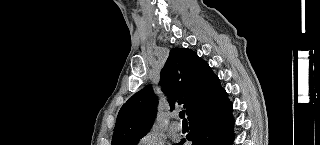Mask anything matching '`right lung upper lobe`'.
Masks as SVG:
<instances>
[{
  "label": "right lung upper lobe",
  "mask_w": 320,
  "mask_h": 145,
  "mask_svg": "<svg viewBox=\"0 0 320 145\" xmlns=\"http://www.w3.org/2000/svg\"><path fill=\"white\" fill-rule=\"evenodd\" d=\"M209 65L186 48H173L161 71L160 82L171 111L183 104L188 117L206 103L216 79ZM158 99L151 86L134 94L120 109L112 145H131L143 137L157 113Z\"/></svg>",
  "instance_id": "cb5924a9"
}]
</instances>
